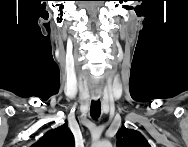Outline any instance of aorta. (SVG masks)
<instances>
[{
    "instance_id": "aorta-1",
    "label": "aorta",
    "mask_w": 188,
    "mask_h": 147,
    "mask_svg": "<svg viewBox=\"0 0 188 147\" xmlns=\"http://www.w3.org/2000/svg\"><path fill=\"white\" fill-rule=\"evenodd\" d=\"M100 147H110L111 143L109 141H102L101 143H99Z\"/></svg>"
}]
</instances>
